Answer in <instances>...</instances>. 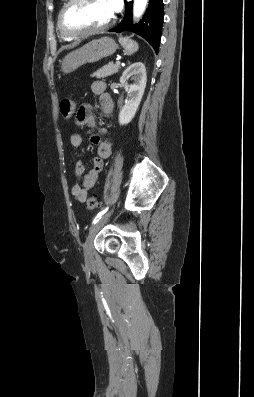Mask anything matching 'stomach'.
Returning a JSON list of instances; mask_svg holds the SVG:
<instances>
[{
    "instance_id": "0dacf381",
    "label": "stomach",
    "mask_w": 254,
    "mask_h": 397,
    "mask_svg": "<svg viewBox=\"0 0 254 397\" xmlns=\"http://www.w3.org/2000/svg\"><path fill=\"white\" fill-rule=\"evenodd\" d=\"M117 47L116 42L110 37L94 39L81 48L68 53L61 63V71L70 73L84 64L97 62L111 56Z\"/></svg>"
}]
</instances>
